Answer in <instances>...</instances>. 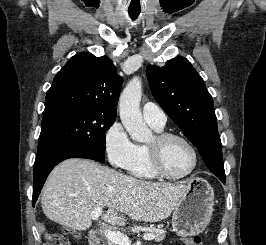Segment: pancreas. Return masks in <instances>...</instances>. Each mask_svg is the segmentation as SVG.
I'll return each mask as SVG.
<instances>
[{
    "mask_svg": "<svg viewBox=\"0 0 266 245\" xmlns=\"http://www.w3.org/2000/svg\"><path fill=\"white\" fill-rule=\"evenodd\" d=\"M144 233L145 235H154V241H156V243H162L166 237L167 231H162V229H160V231H157V229H147ZM112 245H114V243H112Z\"/></svg>",
    "mask_w": 266,
    "mask_h": 245,
    "instance_id": "1",
    "label": "pancreas"
}]
</instances>
